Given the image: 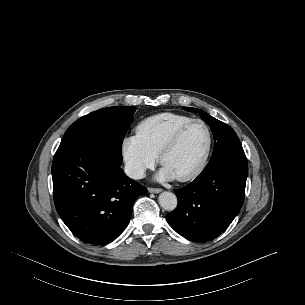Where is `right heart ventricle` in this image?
I'll use <instances>...</instances> for the list:
<instances>
[{"label": "right heart ventricle", "mask_w": 305, "mask_h": 305, "mask_svg": "<svg viewBox=\"0 0 305 305\" xmlns=\"http://www.w3.org/2000/svg\"><path fill=\"white\" fill-rule=\"evenodd\" d=\"M192 118L175 113H162L144 119L137 126V135L157 157L175 131Z\"/></svg>", "instance_id": "1"}]
</instances>
